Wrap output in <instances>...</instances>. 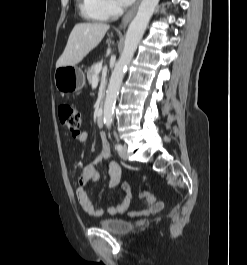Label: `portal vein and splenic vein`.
<instances>
[{"instance_id": "portal-vein-and-splenic-vein-1", "label": "portal vein and splenic vein", "mask_w": 247, "mask_h": 265, "mask_svg": "<svg viewBox=\"0 0 247 265\" xmlns=\"http://www.w3.org/2000/svg\"><path fill=\"white\" fill-rule=\"evenodd\" d=\"M101 68H102L101 65L96 66V68H95V74H94V76H93V80H97V79H98V77H99V73H100V71H101Z\"/></svg>"}]
</instances>
